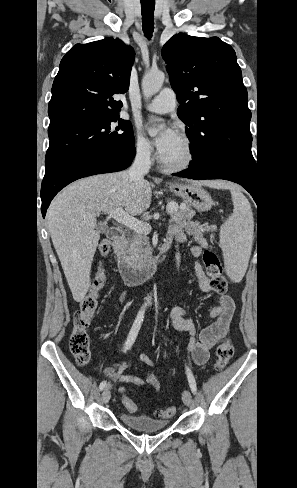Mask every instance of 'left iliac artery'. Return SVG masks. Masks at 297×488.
<instances>
[{"instance_id":"obj_1","label":"left iliac artery","mask_w":297,"mask_h":488,"mask_svg":"<svg viewBox=\"0 0 297 488\" xmlns=\"http://www.w3.org/2000/svg\"><path fill=\"white\" fill-rule=\"evenodd\" d=\"M186 373H187V377H188V381H189L191 391L193 394H196V391H197L196 382H195V379H194V376H193L191 370L187 366H186Z\"/></svg>"}]
</instances>
